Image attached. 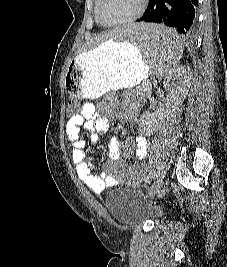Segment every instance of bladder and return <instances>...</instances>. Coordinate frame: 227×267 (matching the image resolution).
Returning a JSON list of instances; mask_svg holds the SVG:
<instances>
[{
    "instance_id": "31cf9c89",
    "label": "bladder",
    "mask_w": 227,
    "mask_h": 267,
    "mask_svg": "<svg viewBox=\"0 0 227 267\" xmlns=\"http://www.w3.org/2000/svg\"><path fill=\"white\" fill-rule=\"evenodd\" d=\"M106 205L117 222H132L159 216V211L145 206L137 193L125 188L113 190L106 199Z\"/></svg>"
}]
</instances>
